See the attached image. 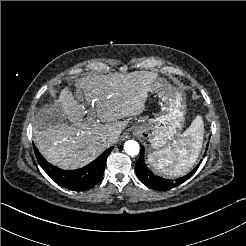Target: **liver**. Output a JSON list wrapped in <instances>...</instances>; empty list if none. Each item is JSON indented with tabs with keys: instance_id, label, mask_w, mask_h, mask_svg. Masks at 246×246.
I'll return each instance as SVG.
<instances>
[{
	"instance_id": "liver-1",
	"label": "liver",
	"mask_w": 246,
	"mask_h": 246,
	"mask_svg": "<svg viewBox=\"0 0 246 246\" xmlns=\"http://www.w3.org/2000/svg\"><path fill=\"white\" fill-rule=\"evenodd\" d=\"M156 80L152 73L96 75L77 80L76 98L66 87L53 104L71 125L48 120L39 111L33 124L37 148L48 161L62 168L89 163L118 139L126 126L118 119L143 112L147 93ZM112 134L113 138H107Z\"/></svg>"
}]
</instances>
